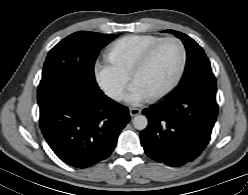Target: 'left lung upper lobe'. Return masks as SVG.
<instances>
[{
    "instance_id": "left-lung-upper-lobe-1",
    "label": "left lung upper lobe",
    "mask_w": 248,
    "mask_h": 195,
    "mask_svg": "<svg viewBox=\"0 0 248 195\" xmlns=\"http://www.w3.org/2000/svg\"><path fill=\"white\" fill-rule=\"evenodd\" d=\"M180 38L187 51V62L184 75L177 88L186 91L191 88L216 86L210 63L203 49L189 36L174 30H166Z\"/></svg>"
}]
</instances>
